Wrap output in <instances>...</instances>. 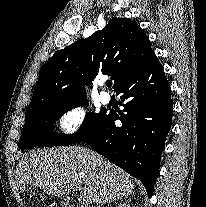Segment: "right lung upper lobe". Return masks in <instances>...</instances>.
<instances>
[{"label": "right lung upper lobe", "instance_id": "right-lung-upper-lobe-1", "mask_svg": "<svg viewBox=\"0 0 206 207\" xmlns=\"http://www.w3.org/2000/svg\"><path fill=\"white\" fill-rule=\"evenodd\" d=\"M155 56L148 36L129 18H112L90 37L57 51L43 66L27 111L41 105L86 98L85 88L102 72L114 90Z\"/></svg>", "mask_w": 206, "mask_h": 207}]
</instances>
